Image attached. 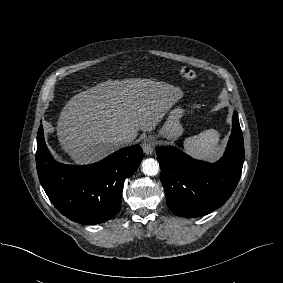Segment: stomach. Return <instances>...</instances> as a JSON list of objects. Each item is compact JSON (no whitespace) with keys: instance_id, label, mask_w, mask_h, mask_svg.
<instances>
[{"instance_id":"0dacf381","label":"stomach","mask_w":283,"mask_h":283,"mask_svg":"<svg viewBox=\"0 0 283 283\" xmlns=\"http://www.w3.org/2000/svg\"><path fill=\"white\" fill-rule=\"evenodd\" d=\"M184 114V109L181 107H175L168 112L166 121L160 128L157 137H163L170 141H175L183 133V127L180 123V119Z\"/></svg>"}]
</instances>
